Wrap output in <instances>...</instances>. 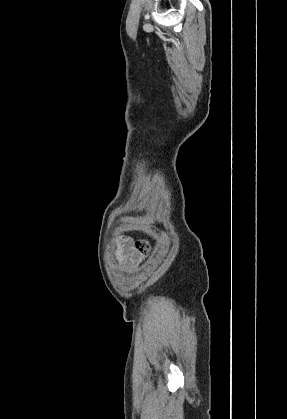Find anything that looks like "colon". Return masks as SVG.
Segmentation results:
<instances>
[{"mask_svg": "<svg viewBox=\"0 0 287 419\" xmlns=\"http://www.w3.org/2000/svg\"><path fill=\"white\" fill-rule=\"evenodd\" d=\"M136 247L138 248V250H140L141 252H146L148 250V245L143 243V242H138Z\"/></svg>", "mask_w": 287, "mask_h": 419, "instance_id": "obj_1", "label": "colon"}]
</instances>
